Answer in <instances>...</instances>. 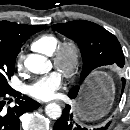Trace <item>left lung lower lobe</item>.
Wrapping results in <instances>:
<instances>
[{
	"instance_id": "1",
	"label": "left lung lower lobe",
	"mask_w": 130,
	"mask_h": 130,
	"mask_svg": "<svg viewBox=\"0 0 130 130\" xmlns=\"http://www.w3.org/2000/svg\"><path fill=\"white\" fill-rule=\"evenodd\" d=\"M123 68L122 66H119ZM125 79H122V91L124 90ZM68 96L72 99L76 98L77 95L68 93ZM111 122H108L105 127L97 128L94 130H106ZM53 130H88L87 128H82L79 125L74 124L73 114L71 113L70 105H66L63 109L62 116L55 123Z\"/></svg>"
}]
</instances>
